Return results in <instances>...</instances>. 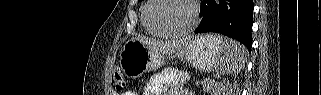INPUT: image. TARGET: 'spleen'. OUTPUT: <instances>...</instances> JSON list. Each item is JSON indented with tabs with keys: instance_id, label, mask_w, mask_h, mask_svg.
<instances>
[{
	"instance_id": "spleen-1",
	"label": "spleen",
	"mask_w": 321,
	"mask_h": 95,
	"mask_svg": "<svg viewBox=\"0 0 321 95\" xmlns=\"http://www.w3.org/2000/svg\"><path fill=\"white\" fill-rule=\"evenodd\" d=\"M222 45L223 52L218 58L215 70L219 74L237 73L244 68L246 60V48L237 41L212 35Z\"/></svg>"
}]
</instances>
